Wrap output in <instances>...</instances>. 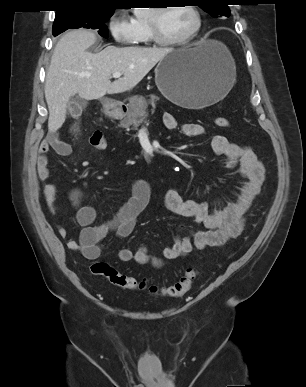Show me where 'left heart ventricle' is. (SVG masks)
Instances as JSON below:
<instances>
[{"mask_svg":"<svg viewBox=\"0 0 306 387\" xmlns=\"http://www.w3.org/2000/svg\"><path fill=\"white\" fill-rule=\"evenodd\" d=\"M195 18L185 6L168 7L159 17L161 34L166 39L185 37L194 27Z\"/></svg>","mask_w":306,"mask_h":387,"instance_id":"obj_1","label":"left heart ventricle"}]
</instances>
